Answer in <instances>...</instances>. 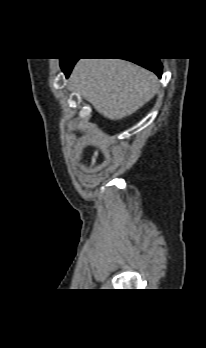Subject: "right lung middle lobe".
Listing matches in <instances>:
<instances>
[{
	"mask_svg": "<svg viewBox=\"0 0 206 348\" xmlns=\"http://www.w3.org/2000/svg\"><path fill=\"white\" fill-rule=\"evenodd\" d=\"M63 62V59H60V64Z\"/></svg>",
	"mask_w": 206,
	"mask_h": 348,
	"instance_id": "right-lung-middle-lobe-1",
	"label": "right lung middle lobe"
}]
</instances>
